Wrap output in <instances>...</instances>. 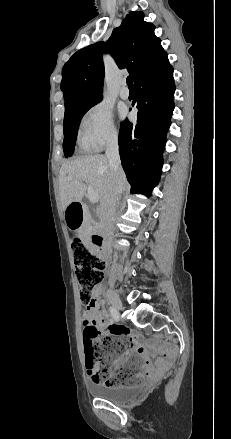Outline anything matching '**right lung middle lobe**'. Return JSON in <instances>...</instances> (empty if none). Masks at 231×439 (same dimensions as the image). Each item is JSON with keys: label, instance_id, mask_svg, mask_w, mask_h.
Instances as JSON below:
<instances>
[{"label": "right lung middle lobe", "instance_id": "1", "mask_svg": "<svg viewBox=\"0 0 231 439\" xmlns=\"http://www.w3.org/2000/svg\"><path fill=\"white\" fill-rule=\"evenodd\" d=\"M101 100L91 101L65 110L63 150L65 157L72 156L77 131L83 115Z\"/></svg>", "mask_w": 231, "mask_h": 439}]
</instances>
